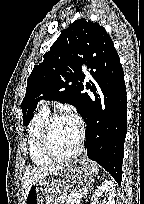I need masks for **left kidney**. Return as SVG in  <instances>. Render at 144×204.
Returning <instances> with one entry per match:
<instances>
[{"label": "left kidney", "instance_id": "1", "mask_svg": "<svg viewBox=\"0 0 144 204\" xmlns=\"http://www.w3.org/2000/svg\"><path fill=\"white\" fill-rule=\"evenodd\" d=\"M115 187L110 180H105L94 192L90 199V204H98L103 195H108V201L105 204H115Z\"/></svg>", "mask_w": 144, "mask_h": 204}]
</instances>
